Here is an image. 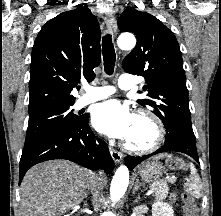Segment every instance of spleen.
<instances>
[{
	"mask_svg": "<svg viewBox=\"0 0 221 216\" xmlns=\"http://www.w3.org/2000/svg\"><path fill=\"white\" fill-rule=\"evenodd\" d=\"M164 157L163 155H159L157 158H162ZM191 169V183L189 184V191L191 194H193L196 198L200 197V178L196 173V169L194 165H190Z\"/></svg>",
	"mask_w": 221,
	"mask_h": 216,
	"instance_id": "spleen-1",
	"label": "spleen"
}]
</instances>
